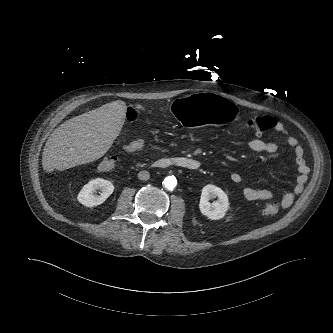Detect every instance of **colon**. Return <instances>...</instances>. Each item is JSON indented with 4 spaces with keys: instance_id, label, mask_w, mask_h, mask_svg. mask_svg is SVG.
Here are the masks:
<instances>
[{
    "instance_id": "obj_1",
    "label": "colon",
    "mask_w": 333,
    "mask_h": 333,
    "mask_svg": "<svg viewBox=\"0 0 333 333\" xmlns=\"http://www.w3.org/2000/svg\"><path fill=\"white\" fill-rule=\"evenodd\" d=\"M138 117V110L135 107H129L127 110V119L133 122ZM276 120L271 116H257L248 120V127L257 135L274 128ZM118 159L115 156H107L100 162L98 169L103 172H109L116 168ZM279 211V205L276 202L267 203L263 208V213L267 216H274Z\"/></svg>"
}]
</instances>
